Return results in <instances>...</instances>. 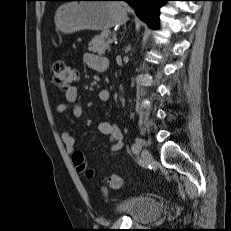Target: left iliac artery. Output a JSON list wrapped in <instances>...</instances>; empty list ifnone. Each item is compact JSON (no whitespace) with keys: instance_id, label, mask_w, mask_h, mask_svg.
<instances>
[{"instance_id":"left-iliac-artery-1","label":"left iliac artery","mask_w":231,"mask_h":231,"mask_svg":"<svg viewBox=\"0 0 231 231\" xmlns=\"http://www.w3.org/2000/svg\"><path fill=\"white\" fill-rule=\"evenodd\" d=\"M141 147H142L141 143H139V142L134 143V144L132 145V147H131L132 152H133L134 154H139V152H140V150H141Z\"/></svg>"}]
</instances>
